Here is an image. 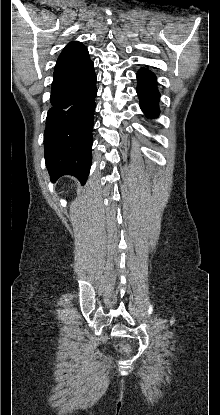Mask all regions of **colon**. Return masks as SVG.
<instances>
[{
	"instance_id": "obj_1",
	"label": "colon",
	"mask_w": 220,
	"mask_h": 415,
	"mask_svg": "<svg viewBox=\"0 0 220 415\" xmlns=\"http://www.w3.org/2000/svg\"><path fill=\"white\" fill-rule=\"evenodd\" d=\"M117 349L121 352H128L130 347L128 344H120L118 345Z\"/></svg>"
}]
</instances>
